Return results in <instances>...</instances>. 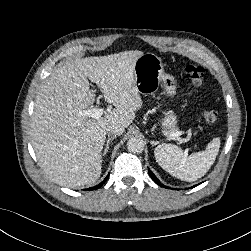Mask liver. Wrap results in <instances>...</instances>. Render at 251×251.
Listing matches in <instances>:
<instances>
[{"label":"liver","instance_id":"liver-1","mask_svg":"<svg viewBox=\"0 0 251 251\" xmlns=\"http://www.w3.org/2000/svg\"><path fill=\"white\" fill-rule=\"evenodd\" d=\"M142 51L70 59L44 81L35 98L31 143L49 178L64 187L91 186L101 175L106 128H127L142 107L134 68ZM88 79L115 108L99 119L80 116L95 102Z\"/></svg>","mask_w":251,"mask_h":251}]
</instances>
